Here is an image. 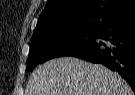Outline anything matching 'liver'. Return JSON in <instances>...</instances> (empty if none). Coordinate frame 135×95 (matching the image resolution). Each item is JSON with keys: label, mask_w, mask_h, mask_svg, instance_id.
I'll list each match as a JSON object with an SVG mask.
<instances>
[{"label": "liver", "mask_w": 135, "mask_h": 95, "mask_svg": "<svg viewBox=\"0 0 135 95\" xmlns=\"http://www.w3.org/2000/svg\"><path fill=\"white\" fill-rule=\"evenodd\" d=\"M121 76L100 64L62 57L39 65L26 95H133Z\"/></svg>", "instance_id": "6515ba94"}]
</instances>
